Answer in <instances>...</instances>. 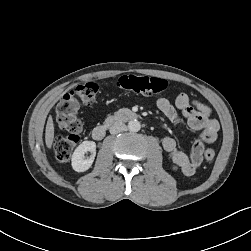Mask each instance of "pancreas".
<instances>
[{"label": "pancreas", "instance_id": "pancreas-1", "mask_svg": "<svg viewBox=\"0 0 251 251\" xmlns=\"http://www.w3.org/2000/svg\"><path fill=\"white\" fill-rule=\"evenodd\" d=\"M114 117L113 116H108L105 120V123L108 124L110 123L111 121H113Z\"/></svg>", "mask_w": 251, "mask_h": 251}]
</instances>
